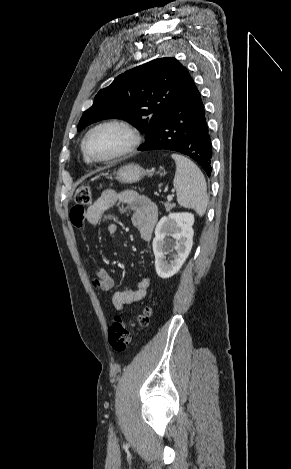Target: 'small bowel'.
I'll list each match as a JSON object with an SVG mask.
<instances>
[{
    "label": "small bowel",
    "mask_w": 291,
    "mask_h": 469,
    "mask_svg": "<svg viewBox=\"0 0 291 469\" xmlns=\"http://www.w3.org/2000/svg\"><path fill=\"white\" fill-rule=\"evenodd\" d=\"M117 202L123 203L131 209L132 222L138 229L140 237L146 242L150 241L158 218L157 208L151 200L133 190L120 192L105 190L91 206L82 210L77 217L71 214V221L77 228H81L84 222L96 226L100 223L104 213ZM107 232L111 236L115 235L117 225L109 223ZM93 272L95 287L101 291H109L113 288L114 281L107 269L93 267ZM150 286L149 278L143 277L133 289L114 292L112 295L113 307L116 310H122L126 305L140 301L146 296Z\"/></svg>",
    "instance_id": "c3829d8e"
}]
</instances>
